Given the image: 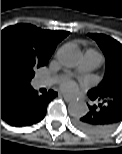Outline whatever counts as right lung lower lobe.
Masks as SVG:
<instances>
[{"label":"right lung lower lobe","instance_id":"98d812e1","mask_svg":"<svg viewBox=\"0 0 122 154\" xmlns=\"http://www.w3.org/2000/svg\"><path fill=\"white\" fill-rule=\"evenodd\" d=\"M57 96L53 90L39 95L31 85L1 94V118L11 126H30L41 121L48 103Z\"/></svg>","mask_w":122,"mask_h":154}]
</instances>
